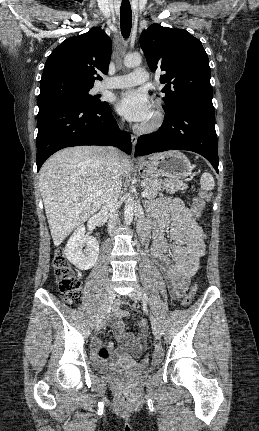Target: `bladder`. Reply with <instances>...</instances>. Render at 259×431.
Segmentation results:
<instances>
[{"instance_id": "bladder-1", "label": "bladder", "mask_w": 259, "mask_h": 431, "mask_svg": "<svg viewBox=\"0 0 259 431\" xmlns=\"http://www.w3.org/2000/svg\"><path fill=\"white\" fill-rule=\"evenodd\" d=\"M104 373L115 374L124 371H134L138 373H145L152 371V368H137L129 362H118L116 364L104 366L101 368Z\"/></svg>"}]
</instances>
